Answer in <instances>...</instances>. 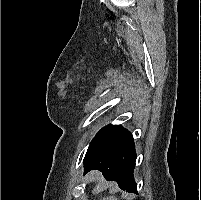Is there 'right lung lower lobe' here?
<instances>
[{"label":"right lung lower lobe","instance_id":"obj_1","mask_svg":"<svg viewBox=\"0 0 201 200\" xmlns=\"http://www.w3.org/2000/svg\"><path fill=\"white\" fill-rule=\"evenodd\" d=\"M135 162L132 134L121 125H108L90 142L84 158V174L97 169L106 180L116 181L122 190L137 193L133 179Z\"/></svg>","mask_w":201,"mask_h":200}]
</instances>
